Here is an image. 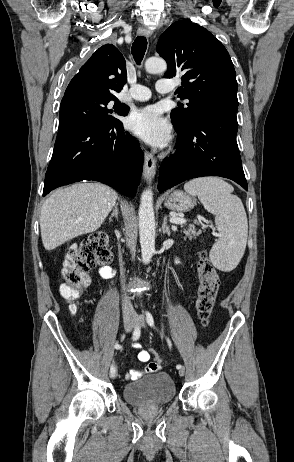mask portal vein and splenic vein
I'll use <instances>...</instances> for the list:
<instances>
[{"mask_svg":"<svg viewBox=\"0 0 294 462\" xmlns=\"http://www.w3.org/2000/svg\"><path fill=\"white\" fill-rule=\"evenodd\" d=\"M170 222L177 225H183L186 223L184 218L172 217L170 218Z\"/></svg>","mask_w":294,"mask_h":462,"instance_id":"portal-vein-and-splenic-vein-1","label":"portal vein and splenic vein"}]
</instances>
